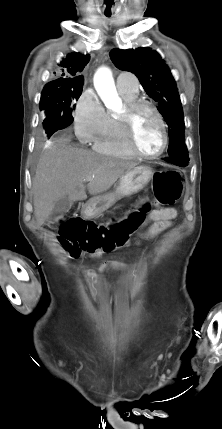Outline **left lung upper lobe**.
<instances>
[{
    "label": "left lung upper lobe",
    "instance_id": "1",
    "mask_svg": "<svg viewBox=\"0 0 222 429\" xmlns=\"http://www.w3.org/2000/svg\"><path fill=\"white\" fill-rule=\"evenodd\" d=\"M110 58L117 68L134 73L147 94L158 103L168 124L169 157L189 160L184 136V116L175 80L161 56L147 47L112 49Z\"/></svg>",
    "mask_w": 222,
    "mask_h": 429
}]
</instances>
